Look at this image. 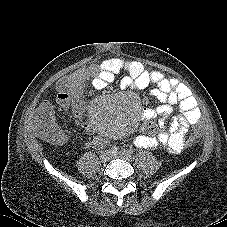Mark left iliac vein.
Masks as SVG:
<instances>
[{"mask_svg":"<svg viewBox=\"0 0 227 227\" xmlns=\"http://www.w3.org/2000/svg\"><path fill=\"white\" fill-rule=\"evenodd\" d=\"M111 157L113 158H121L127 161H130L132 159V156L128 154L127 152H117L114 154H111Z\"/></svg>","mask_w":227,"mask_h":227,"instance_id":"4c4485c4","label":"left iliac vein"}]
</instances>
